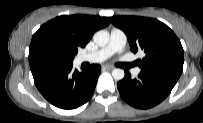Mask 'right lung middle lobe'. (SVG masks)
Listing matches in <instances>:
<instances>
[{
    "label": "right lung middle lobe",
    "instance_id": "1",
    "mask_svg": "<svg viewBox=\"0 0 203 123\" xmlns=\"http://www.w3.org/2000/svg\"><path fill=\"white\" fill-rule=\"evenodd\" d=\"M77 50L53 30L37 31L29 47L30 67L40 64H71Z\"/></svg>",
    "mask_w": 203,
    "mask_h": 123
}]
</instances>
